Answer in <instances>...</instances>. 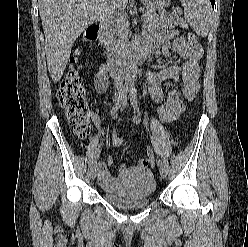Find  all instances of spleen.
Wrapping results in <instances>:
<instances>
[{"mask_svg": "<svg viewBox=\"0 0 248 247\" xmlns=\"http://www.w3.org/2000/svg\"><path fill=\"white\" fill-rule=\"evenodd\" d=\"M184 18L200 37H206L210 29L212 10L209 0H180Z\"/></svg>", "mask_w": 248, "mask_h": 247, "instance_id": "obj_1", "label": "spleen"}]
</instances>
